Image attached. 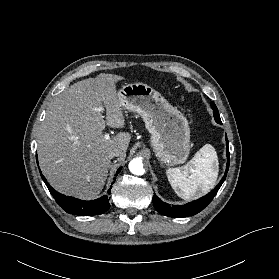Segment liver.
<instances>
[{"instance_id": "liver-1", "label": "liver", "mask_w": 279, "mask_h": 279, "mask_svg": "<svg viewBox=\"0 0 279 279\" xmlns=\"http://www.w3.org/2000/svg\"><path fill=\"white\" fill-rule=\"evenodd\" d=\"M122 76L100 74L74 83L51 103L38 134L42 173L60 193L94 199L111 167L110 151L119 149L123 161L131 140L128 132L104 139L106 125L122 128L125 118L116 90ZM106 108V118L100 108ZM105 118V119H104Z\"/></svg>"}]
</instances>
